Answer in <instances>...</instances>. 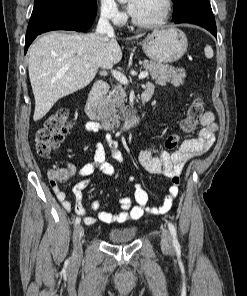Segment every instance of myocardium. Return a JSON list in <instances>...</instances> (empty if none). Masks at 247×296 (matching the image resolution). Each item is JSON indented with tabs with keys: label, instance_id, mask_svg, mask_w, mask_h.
I'll return each instance as SVG.
<instances>
[{
	"label": "myocardium",
	"instance_id": "1",
	"mask_svg": "<svg viewBox=\"0 0 247 296\" xmlns=\"http://www.w3.org/2000/svg\"><path fill=\"white\" fill-rule=\"evenodd\" d=\"M162 5H163V10L161 15L154 21L150 22H141L138 21L134 16H132V23L139 28L143 29H153V28H158L164 25L171 14L172 11V0H162Z\"/></svg>",
	"mask_w": 247,
	"mask_h": 296
}]
</instances>
